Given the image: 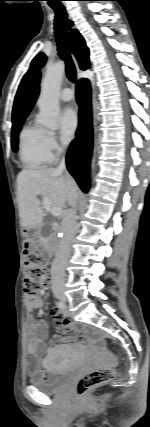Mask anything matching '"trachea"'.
I'll list each match as a JSON object with an SVG mask.
<instances>
[{"instance_id":"3493384b","label":"trachea","mask_w":150,"mask_h":427,"mask_svg":"<svg viewBox=\"0 0 150 427\" xmlns=\"http://www.w3.org/2000/svg\"><path fill=\"white\" fill-rule=\"evenodd\" d=\"M49 5L55 12L54 30H55L58 54L60 58L65 61L66 74L68 79L72 83H75L76 70L70 56L69 47H68V37H67V31H66V21H67L68 15L65 10V7L61 3H49Z\"/></svg>"}]
</instances>
